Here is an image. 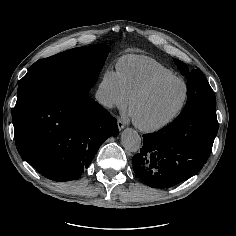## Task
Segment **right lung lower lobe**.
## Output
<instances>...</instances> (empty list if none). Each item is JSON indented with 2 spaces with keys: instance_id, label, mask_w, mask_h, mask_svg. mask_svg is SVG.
Wrapping results in <instances>:
<instances>
[{
  "instance_id": "obj_1",
  "label": "right lung lower lobe",
  "mask_w": 236,
  "mask_h": 236,
  "mask_svg": "<svg viewBox=\"0 0 236 236\" xmlns=\"http://www.w3.org/2000/svg\"><path fill=\"white\" fill-rule=\"evenodd\" d=\"M90 89L78 81L33 91L16 102L18 152L48 179H77L100 145L118 134L116 119L88 96Z\"/></svg>"
}]
</instances>
